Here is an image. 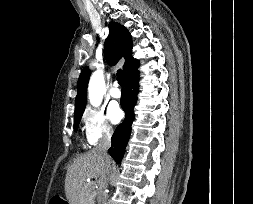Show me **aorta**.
<instances>
[{"label": "aorta", "mask_w": 253, "mask_h": 204, "mask_svg": "<svg viewBox=\"0 0 253 204\" xmlns=\"http://www.w3.org/2000/svg\"><path fill=\"white\" fill-rule=\"evenodd\" d=\"M105 91V80L102 71H95L89 81L88 85V97L90 103L98 107L103 99V94Z\"/></svg>", "instance_id": "762f6f07"}]
</instances>
